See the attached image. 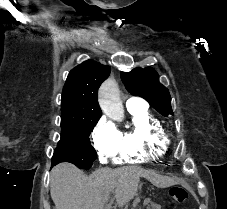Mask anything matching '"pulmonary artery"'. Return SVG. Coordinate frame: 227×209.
<instances>
[{"label": "pulmonary artery", "instance_id": "pulmonary-artery-1", "mask_svg": "<svg viewBox=\"0 0 227 209\" xmlns=\"http://www.w3.org/2000/svg\"><path fill=\"white\" fill-rule=\"evenodd\" d=\"M127 105H149V100H140V95H129Z\"/></svg>", "mask_w": 227, "mask_h": 209}]
</instances>
